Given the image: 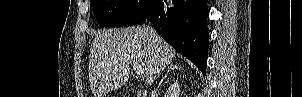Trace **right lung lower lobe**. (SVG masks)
I'll return each instance as SVG.
<instances>
[{
	"label": "right lung lower lobe",
	"instance_id": "obj_1",
	"mask_svg": "<svg viewBox=\"0 0 302 97\" xmlns=\"http://www.w3.org/2000/svg\"><path fill=\"white\" fill-rule=\"evenodd\" d=\"M208 14L207 0H149L127 25L148 19L176 51L206 75Z\"/></svg>",
	"mask_w": 302,
	"mask_h": 97
}]
</instances>
